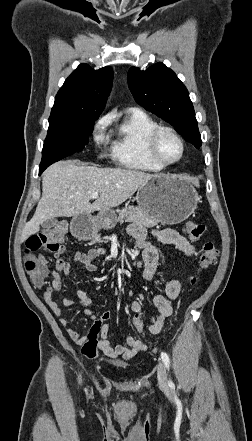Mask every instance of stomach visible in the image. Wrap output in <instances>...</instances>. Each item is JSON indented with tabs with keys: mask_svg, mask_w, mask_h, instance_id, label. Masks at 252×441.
Instances as JSON below:
<instances>
[{
	"mask_svg": "<svg viewBox=\"0 0 252 441\" xmlns=\"http://www.w3.org/2000/svg\"><path fill=\"white\" fill-rule=\"evenodd\" d=\"M200 198L194 187L177 175H156L137 191V208L160 222L174 225L186 220ZM116 222L113 210L101 211L93 220V230L109 228Z\"/></svg>",
	"mask_w": 252,
	"mask_h": 441,
	"instance_id": "0dacf381",
	"label": "stomach"
}]
</instances>
